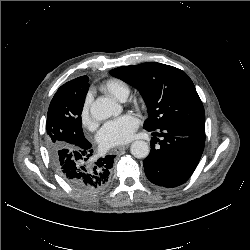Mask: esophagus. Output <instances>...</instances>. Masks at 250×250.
Returning <instances> with one entry per match:
<instances>
[{
  "label": "esophagus",
  "mask_w": 250,
  "mask_h": 250,
  "mask_svg": "<svg viewBox=\"0 0 250 250\" xmlns=\"http://www.w3.org/2000/svg\"><path fill=\"white\" fill-rule=\"evenodd\" d=\"M129 147V144L123 145V146H118L112 149V152L115 154H118L120 151L125 150Z\"/></svg>",
  "instance_id": "1"
}]
</instances>
